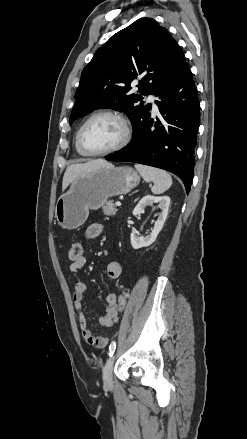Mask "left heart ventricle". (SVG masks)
Instances as JSON below:
<instances>
[{
  "instance_id": "left-heart-ventricle-1",
  "label": "left heart ventricle",
  "mask_w": 247,
  "mask_h": 439,
  "mask_svg": "<svg viewBox=\"0 0 247 439\" xmlns=\"http://www.w3.org/2000/svg\"><path fill=\"white\" fill-rule=\"evenodd\" d=\"M122 136V125L117 119L101 116L87 125L83 133V143L87 150L100 152L117 145Z\"/></svg>"
}]
</instances>
